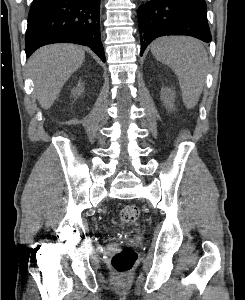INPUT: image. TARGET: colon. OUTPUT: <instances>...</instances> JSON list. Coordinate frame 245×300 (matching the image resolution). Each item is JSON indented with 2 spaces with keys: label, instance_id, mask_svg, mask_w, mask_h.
Returning <instances> with one entry per match:
<instances>
[{
  "label": "colon",
  "instance_id": "5ec220e1",
  "mask_svg": "<svg viewBox=\"0 0 245 300\" xmlns=\"http://www.w3.org/2000/svg\"><path fill=\"white\" fill-rule=\"evenodd\" d=\"M139 208L134 205H126L120 212L121 221L124 223H132L139 217ZM137 260L136 252L125 247L118 250L111 258V266L113 270L121 276H125L132 271Z\"/></svg>",
  "mask_w": 245,
  "mask_h": 300
}]
</instances>
